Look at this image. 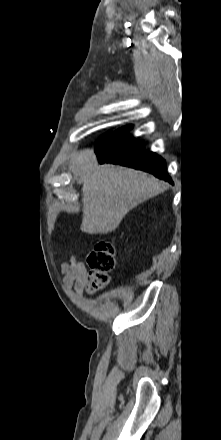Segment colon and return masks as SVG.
I'll list each match as a JSON object with an SVG mask.
<instances>
[{
	"label": "colon",
	"mask_w": 221,
	"mask_h": 440,
	"mask_svg": "<svg viewBox=\"0 0 221 440\" xmlns=\"http://www.w3.org/2000/svg\"><path fill=\"white\" fill-rule=\"evenodd\" d=\"M88 266L102 283L109 282V274L116 264V250L112 242H97L87 257Z\"/></svg>",
	"instance_id": "5ec220e1"
}]
</instances>
